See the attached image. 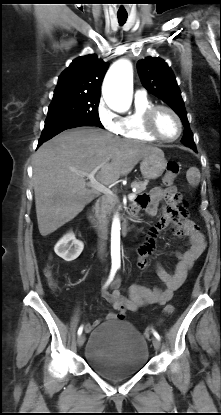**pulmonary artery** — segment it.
Masks as SVG:
<instances>
[{
  "label": "pulmonary artery",
  "mask_w": 221,
  "mask_h": 415,
  "mask_svg": "<svg viewBox=\"0 0 221 415\" xmlns=\"http://www.w3.org/2000/svg\"><path fill=\"white\" fill-rule=\"evenodd\" d=\"M144 96H146L145 90H143V89L136 90L135 97H144Z\"/></svg>",
  "instance_id": "e3ab8cb5"
}]
</instances>
